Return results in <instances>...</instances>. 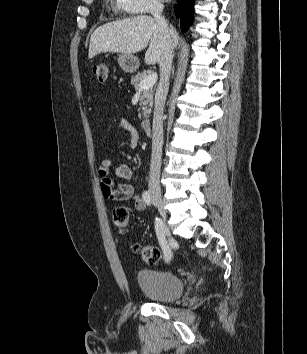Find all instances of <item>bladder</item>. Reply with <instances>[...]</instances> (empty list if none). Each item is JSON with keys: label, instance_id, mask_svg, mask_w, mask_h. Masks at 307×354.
I'll use <instances>...</instances> for the list:
<instances>
[{"label": "bladder", "instance_id": "1", "mask_svg": "<svg viewBox=\"0 0 307 354\" xmlns=\"http://www.w3.org/2000/svg\"><path fill=\"white\" fill-rule=\"evenodd\" d=\"M137 281L149 299L172 302L181 297L184 281L177 274L161 269L143 268L137 272Z\"/></svg>", "mask_w": 307, "mask_h": 354}]
</instances>
